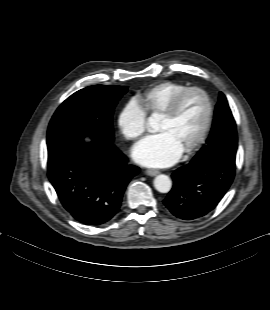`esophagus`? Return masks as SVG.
Instances as JSON below:
<instances>
[{
    "instance_id": "34e87169",
    "label": "esophagus",
    "mask_w": 270,
    "mask_h": 310,
    "mask_svg": "<svg viewBox=\"0 0 270 310\" xmlns=\"http://www.w3.org/2000/svg\"><path fill=\"white\" fill-rule=\"evenodd\" d=\"M146 174L149 176H156L159 174V171L156 169H147Z\"/></svg>"
}]
</instances>
